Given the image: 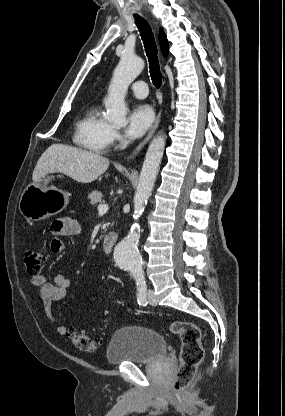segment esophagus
I'll list each match as a JSON object with an SVG mask.
<instances>
[{"label": "esophagus", "mask_w": 285, "mask_h": 416, "mask_svg": "<svg viewBox=\"0 0 285 416\" xmlns=\"http://www.w3.org/2000/svg\"><path fill=\"white\" fill-rule=\"evenodd\" d=\"M161 112H162V110H160L159 113L157 114V116L155 118V121H154L153 125L151 126L148 134L144 138V140H142L141 143H139V145L137 146V148L133 151V153L128 158H133L136 155H138V153L142 150V148L148 143V141L150 140V138H152V135L154 134L156 128L158 127V125L160 123V120H161Z\"/></svg>", "instance_id": "1"}]
</instances>
